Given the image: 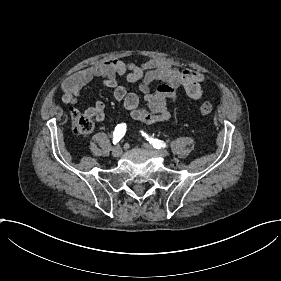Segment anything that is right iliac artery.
I'll return each mask as SVG.
<instances>
[{
    "instance_id": "right-iliac-artery-1",
    "label": "right iliac artery",
    "mask_w": 281,
    "mask_h": 281,
    "mask_svg": "<svg viewBox=\"0 0 281 281\" xmlns=\"http://www.w3.org/2000/svg\"><path fill=\"white\" fill-rule=\"evenodd\" d=\"M126 132V124H118L115 128V131L113 133V144H116L119 142V140L125 135Z\"/></svg>"
}]
</instances>
